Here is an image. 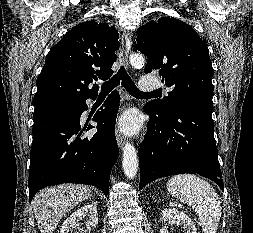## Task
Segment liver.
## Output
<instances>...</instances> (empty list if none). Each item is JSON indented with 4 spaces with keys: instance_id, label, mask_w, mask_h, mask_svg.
Wrapping results in <instances>:
<instances>
[{
    "instance_id": "obj_1",
    "label": "liver",
    "mask_w": 253,
    "mask_h": 233,
    "mask_svg": "<svg viewBox=\"0 0 253 233\" xmlns=\"http://www.w3.org/2000/svg\"><path fill=\"white\" fill-rule=\"evenodd\" d=\"M91 197L88 186L62 184L35 195L32 207L41 233H53L59 221L77 204Z\"/></svg>"
}]
</instances>
